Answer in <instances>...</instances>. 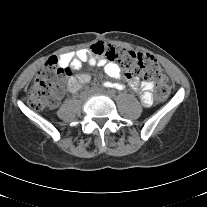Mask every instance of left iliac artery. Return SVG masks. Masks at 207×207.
<instances>
[{
    "label": "left iliac artery",
    "instance_id": "left-iliac-artery-1",
    "mask_svg": "<svg viewBox=\"0 0 207 207\" xmlns=\"http://www.w3.org/2000/svg\"><path fill=\"white\" fill-rule=\"evenodd\" d=\"M111 87H114V88H116V89H118V90H123V89L125 88L124 85H122V84H118V83L111 84Z\"/></svg>",
    "mask_w": 207,
    "mask_h": 207
}]
</instances>
